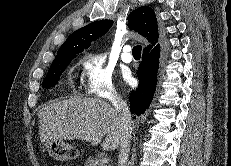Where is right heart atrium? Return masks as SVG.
Wrapping results in <instances>:
<instances>
[{"label":"right heart atrium","instance_id":"obj_1","mask_svg":"<svg viewBox=\"0 0 231 166\" xmlns=\"http://www.w3.org/2000/svg\"><path fill=\"white\" fill-rule=\"evenodd\" d=\"M83 67L84 92L94 98H115L112 71L107 67L102 55L86 52L81 60Z\"/></svg>","mask_w":231,"mask_h":166}]
</instances>
